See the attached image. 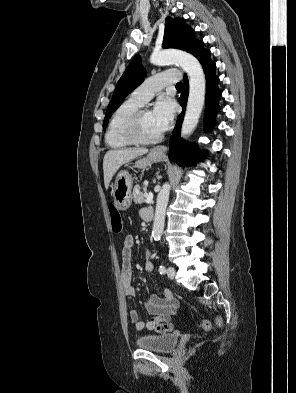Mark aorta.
Instances as JSON below:
<instances>
[{
    "label": "aorta",
    "instance_id": "1",
    "mask_svg": "<svg viewBox=\"0 0 296 393\" xmlns=\"http://www.w3.org/2000/svg\"><path fill=\"white\" fill-rule=\"evenodd\" d=\"M150 62L157 66L178 63L189 77V96L185 117L181 127V136H189L196 128L205 102L206 79L199 61L191 54L179 50L153 52ZM170 194V185L163 184L156 201L152 237L159 240L164 229L165 213Z\"/></svg>",
    "mask_w": 296,
    "mask_h": 393
}]
</instances>
